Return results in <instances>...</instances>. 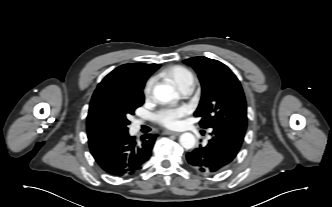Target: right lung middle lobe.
Wrapping results in <instances>:
<instances>
[{"mask_svg": "<svg viewBox=\"0 0 332 207\" xmlns=\"http://www.w3.org/2000/svg\"><path fill=\"white\" fill-rule=\"evenodd\" d=\"M144 103L142 88H120L100 100L89 110L87 121L91 129L101 135L128 130V114Z\"/></svg>", "mask_w": 332, "mask_h": 207, "instance_id": "right-lung-middle-lobe-1", "label": "right lung middle lobe"}]
</instances>
